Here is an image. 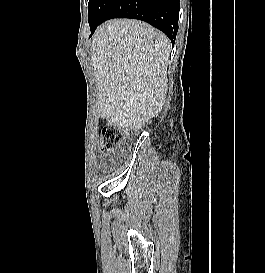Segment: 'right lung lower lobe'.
Returning a JSON list of instances; mask_svg holds the SVG:
<instances>
[{
	"label": "right lung lower lobe",
	"mask_w": 265,
	"mask_h": 273,
	"mask_svg": "<svg viewBox=\"0 0 265 273\" xmlns=\"http://www.w3.org/2000/svg\"><path fill=\"white\" fill-rule=\"evenodd\" d=\"M179 9V0H113L101 23L112 18L143 20L164 32L174 43ZM96 28L91 29V35Z\"/></svg>",
	"instance_id": "1"
}]
</instances>
